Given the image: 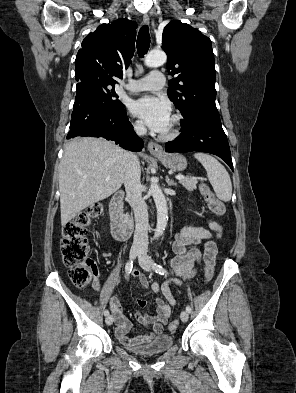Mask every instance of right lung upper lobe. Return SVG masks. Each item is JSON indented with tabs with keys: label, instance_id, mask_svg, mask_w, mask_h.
<instances>
[{
	"label": "right lung upper lobe",
	"instance_id": "1",
	"mask_svg": "<svg viewBox=\"0 0 296 393\" xmlns=\"http://www.w3.org/2000/svg\"><path fill=\"white\" fill-rule=\"evenodd\" d=\"M137 24L119 19L100 25L82 41L75 60V78L94 77L115 85L134 54Z\"/></svg>",
	"mask_w": 296,
	"mask_h": 393
}]
</instances>
